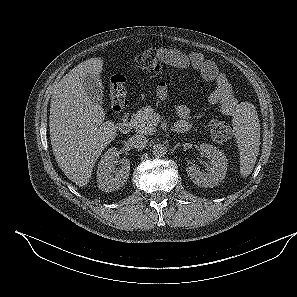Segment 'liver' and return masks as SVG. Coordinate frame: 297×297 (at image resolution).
Instances as JSON below:
<instances>
[{
	"label": "liver",
	"mask_w": 297,
	"mask_h": 297,
	"mask_svg": "<svg viewBox=\"0 0 297 297\" xmlns=\"http://www.w3.org/2000/svg\"><path fill=\"white\" fill-rule=\"evenodd\" d=\"M103 64L101 58L78 64L60 80L51 97L53 154L64 174L80 187L88 184L95 162L116 136L114 123L104 122L103 108L87 97L83 87L85 76L100 78Z\"/></svg>",
	"instance_id": "6515ba94"
}]
</instances>
